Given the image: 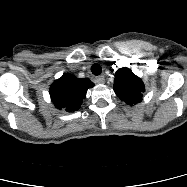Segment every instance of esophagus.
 Returning <instances> with one entry per match:
<instances>
[{"label": "esophagus", "instance_id": "obj_1", "mask_svg": "<svg viewBox=\"0 0 187 187\" xmlns=\"http://www.w3.org/2000/svg\"><path fill=\"white\" fill-rule=\"evenodd\" d=\"M95 82L98 83V84L104 83V82H105L104 76H103V75L97 76V77L95 78Z\"/></svg>", "mask_w": 187, "mask_h": 187}]
</instances>
